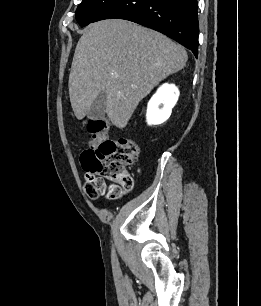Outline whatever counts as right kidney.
Returning <instances> with one entry per match:
<instances>
[{"label":"right kidney","instance_id":"ca27d5eb","mask_svg":"<svg viewBox=\"0 0 261 306\" xmlns=\"http://www.w3.org/2000/svg\"><path fill=\"white\" fill-rule=\"evenodd\" d=\"M179 90L174 84H163L152 96L147 105L146 118L149 125L165 122L178 101Z\"/></svg>","mask_w":261,"mask_h":306}]
</instances>
